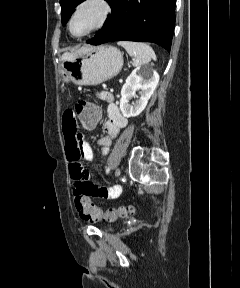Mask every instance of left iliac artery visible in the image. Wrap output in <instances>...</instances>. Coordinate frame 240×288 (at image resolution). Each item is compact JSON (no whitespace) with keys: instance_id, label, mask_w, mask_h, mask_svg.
Masks as SVG:
<instances>
[{"instance_id":"obj_1","label":"left iliac artery","mask_w":240,"mask_h":288,"mask_svg":"<svg viewBox=\"0 0 240 288\" xmlns=\"http://www.w3.org/2000/svg\"><path fill=\"white\" fill-rule=\"evenodd\" d=\"M110 172V168H107L106 169V173L108 174Z\"/></svg>"}]
</instances>
